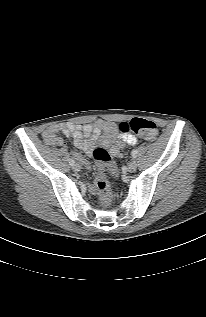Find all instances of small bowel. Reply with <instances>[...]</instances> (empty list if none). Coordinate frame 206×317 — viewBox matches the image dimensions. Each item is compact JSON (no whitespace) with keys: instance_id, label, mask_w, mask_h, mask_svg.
<instances>
[{"instance_id":"1","label":"small bowel","mask_w":206,"mask_h":317,"mask_svg":"<svg viewBox=\"0 0 206 317\" xmlns=\"http://www.w3.org/2000/svg\"><path fill=\"white\" fill-rule=\"evenodd\" d=\"M115 126L113 123L105 120H97L94 123L75 125H53L48 127L42 133L43 140L52 146H63L64 140L58 136L61 132L68 137H72L76 147L83 150L88 155H92L96 147L108 148L115 157L122 156L124 145H135L137 137L130 133H124L119 137L114 135ZM73 156L81 162L86 168H90V163L78 152H73ZM96 187H90V192L95 193Z\"/></svg>"}]
</instances>
